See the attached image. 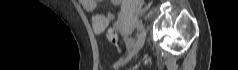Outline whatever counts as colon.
I'll list each match as a JSON object with an SVG mask.
<instances>
[{
  "label": "colon",
  "instance_id": "5ec220e1",
  "mask_svg": "<svg viewBox=\"0 0 238 70\" xmlns=\"http://www.w3.org/2000/svg\"><path fill=\"white\" fill-rule=\"evenodd\" d=\"M107 38L112 43H116L117 42V31H116L115 28H110L107 31Z\"/></svg>",
  "mask_w": 238,
  "mask_h": 70
}]
</instances>
